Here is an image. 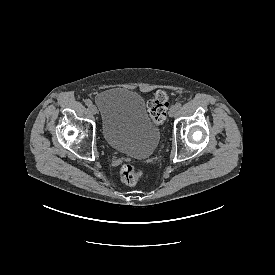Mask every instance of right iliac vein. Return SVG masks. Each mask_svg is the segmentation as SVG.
Instances as JSON below:
<instances>
[{
	"mask_svg": "<svg viewBox=\"0 0 275 275\" xmlns=\"http://www.w3.org/2000/svg\"><path fill=\"white\" fill-rule=\"evenodd\" d=\"M90 111H91L93 114H96V113H97V108H96V106L92 104V105L90 106Z\"/></svg>",
	"mask_w": 275,
	"mask_h": 275,
	"instance_id": "1",
	"label": "right iliac vein"
}]
</instances>
